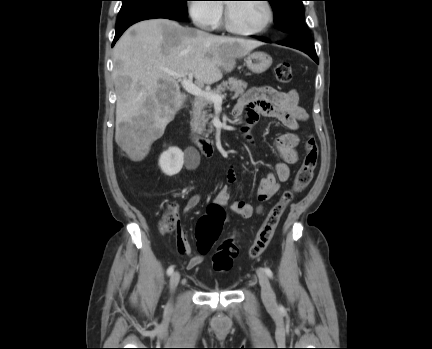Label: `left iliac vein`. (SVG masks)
<instances>
[{
	"instance_id": "4c4485c4",
	"label": "left iliac vein",
	"mask_w": 432,
	"mask_h": 349,
	"mask_svg": "<svg viewBox=\"0 0 432 349\" xmlns=\"http://www.w3.org/2000/svg\"><path fill=\"white\" fill-rule=\"evenodd\" d=\"M257 275L261 286V296L264 304L269 308H275L277 305L276 298L267 274L262 269H258Z\"/></svg>"
}]
</instances>
